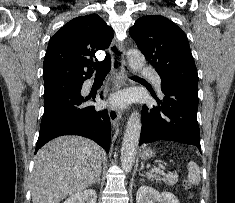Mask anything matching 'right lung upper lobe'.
<instances>
[{
    "label": "right lung upper lobe",
    "mask_w": 235,
    "mask_h": 203,
    "mask_svg": "<svg viewBox=\"0 0 235 203\" xmlns=\"http://www.w3.org/2000/svg\"><path fill=\"white\" fill-rule=\"evenodd\" d=\"M112 38L113 29L97 14L69 21L49 41L43 65L45 86L90 78V58L107 49Z\"/></svg>",
    "instance_id": "cb5924a9"
}]
</instances>
